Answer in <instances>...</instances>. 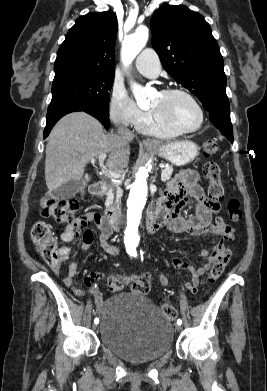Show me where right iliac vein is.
<instances>
[{"instance_id": "obj_1", "label": "right iliac vein", "mask_w": 267, "mask_h": 391, "mask_svg": "<svg viewBox=\"0 0 267 391\" xmlns=\"http://www.w3.org/2000/svg\"><path fill=\"white\" fill-rule=\"evenodd\" d=\"M97 328V325H93V329H96Z\"/></svg>"}]
</instances>
